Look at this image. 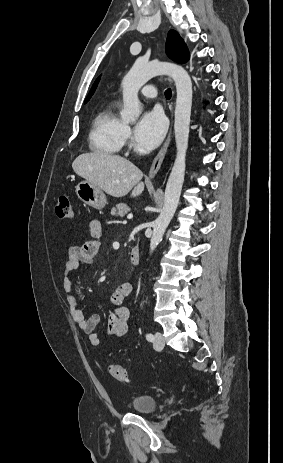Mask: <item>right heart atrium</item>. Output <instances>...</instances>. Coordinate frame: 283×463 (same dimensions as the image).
Returning a JSON list of instances; mask_svg holds the SVG:
<instances>
[{
	"label": "right heart atrium",
	"instance_id": "1",
	"mask_svg": "<svg viewBox=\"0 0 283 463\" xmlns=\"http://www.w3.org/2000/svg\"><path fill=\"white\" fill-rule=\"evenodd\" d=\"M123 139L125 142H127L130 139V128L126 125L123 130Z\"/></svg>",
	"mask_w": 283,
	"mask_h": 463
}]
</instances>
